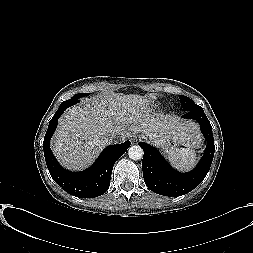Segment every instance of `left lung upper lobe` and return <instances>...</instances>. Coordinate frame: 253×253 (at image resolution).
Returning <instances> with one entry per match:
<instances>
[{
	"label": "left lung upper lobe",
	"instance_id": "left-lung-upper-lobe-1",
	"mask_svg": "<svg viewBox=\"0 0 253 253\" xmlns=\"http://www.w3.org/2000/svg\"><path fill=\"white\" fill-rule=\"evenodd\" d=\"M181 106L185 111L201 108L199 105L195 104L190 98L179 95Z\"/></svg>",
	"mask_w": 253,
	"mask_h": 253
}]
</instances>
